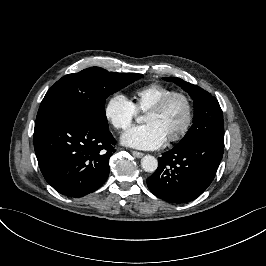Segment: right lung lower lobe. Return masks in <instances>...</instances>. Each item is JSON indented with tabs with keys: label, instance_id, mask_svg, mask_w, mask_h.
<instances>
[{
	"label": "right lung lower lobe",
	"instance_id": "right-lung-lower-lobe-1",
	"mask_svg": "<svg viewBox=\"0 0 266 266\" xmlns=\"http://www.w3.org/2000/svg\"><path fill=\"white\" fill-rule=\"evenodd\" d=\"M34 149L46 181L59 193L82 197L108 178L116 140L77 115L59 112L36 121Z\"/></svg>",
	"mask_w": 266,
	"mask_h": 266
}]
</instances>
